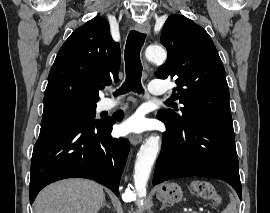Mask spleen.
<instances>
[{"mask_svg":"<svg viewBox=\"0 0 270 213\" xmlns=\"http://www.w3.org/2000/svg\"><path fill=\"white\" fill-rule=\"evenodd\" d=\"M230 203L221 213H237V206L234 197L230 194Z\"/></svg>","mask_w":270,"mask_h":213,"instance_id":"obj_1","label":"spleen"}]
</instances>
